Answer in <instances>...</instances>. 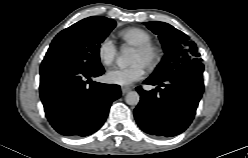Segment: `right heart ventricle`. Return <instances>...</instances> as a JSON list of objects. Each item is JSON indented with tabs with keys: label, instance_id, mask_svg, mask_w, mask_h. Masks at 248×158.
<instances>
[{
	"label": "right heart ventricle",
	"instance_id": "e07e8e85",
	"mask_svg": "<svg viewBox=\"0 0 248 158\" xmlns=\"http://www.w3.org/2000/svg\"><path fill=\"white\" fill-rule=\"evenodd\" d=\"M118 38L134 47L151 43V35L140 28H128L117 34Z\"/></svg>",
	"mask_w": 248,
	"mask_h": 158
}]
</instances>
